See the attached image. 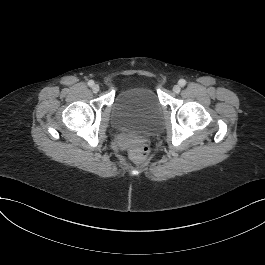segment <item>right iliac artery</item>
Returning <instances> with one entry per match:
<instances>
[{"mask_svg":"<svg viewBox=\"0 0 265 265\" xmlns=\"http://www.w3.org/2000/svg\"><path fill=\"white\" fill-rule=\"evenodd\" d=\"M88 85H89L90 87H92V86L94 85V81H93V80H90V81L88 82Z\"/></svg>","mask_w":265,"mask_h":265,"instance_id":"82829eb1","label":"right iliac artery"}]
</instances>
